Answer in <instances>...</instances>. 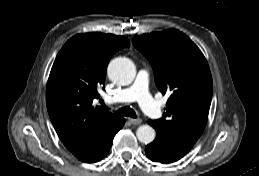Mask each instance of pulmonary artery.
<instances>
[{"label": "pulmonary artery", "mask_w": 259, "mask_h": 176, "mask_svg": "<svg viewBox=\"0 0 259 176\" xmlns=\"http://www.w3.org/2000/svg\"><path fill=\"white\" fill-rule=\"evenodd\" d=\"M148 78V72L141 69L131 86L120 90L114 96L107 97L106 101L108 103H126L136 100L146 114L158 119L162 112L148 91Z\"/></svg>", "instance_id": "1"}]
</instances>
